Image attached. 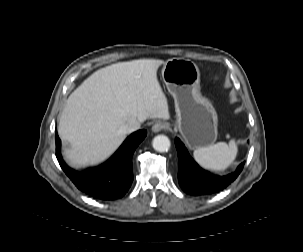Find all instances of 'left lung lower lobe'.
<instances>
[{"mask_svg":"<svg viewBox=\"0 0 303 252\" xmlns=\"http://www.w3.org/2000/svg\"><path fill=\"white\" fill-rule=\"evenodd\" d=\"M175 145L178 153V181L181 188L191 195L212 194L223 190L237 178L244 166L243 162L231 174L214 176L197 165L178 138H175Z\"/></svg>","mask_w":303,"mask_h":252,"instance_id":"obj_1","label":"left lung lower lobe"}]
</instances>
